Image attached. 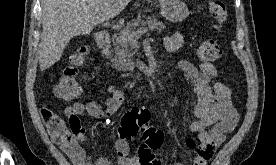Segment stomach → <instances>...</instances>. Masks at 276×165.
<instances>
[{
    "label": "stomach",
    "mask_w": 276,
    "mask_h": 165,
    "mask_svg": "<svg viewBox=\"0 0 276 165\" xmlns=\"http://www.w3.org/2000/svg\"><path fill=\"white\" fill-rule=\"evenodd\" d=\"M161 15L171 22H181L189 15L187 5L182 0H158Z\"/></svg>",
    "instance_id": "stomach-1"
}]
</instances>
